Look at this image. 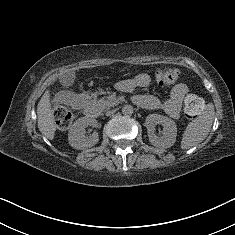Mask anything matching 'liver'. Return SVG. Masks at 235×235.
<instances>
[{"instance_id": "6515ba94", "label": "liver", "mask_w": 235, "mask_h": 235, "mask_svg": "<svg viewBox=\"0 0 235 235\" xmlns=\"http://www.w3.org/2000/svg\"><path fill=\"white\" fill-rule=\"evenodd\" d=\"M38 127L47 138L54 136L55 129L52 126L51 102L49 91H46L37 105Z\"/></svg>"}]
</instances>
